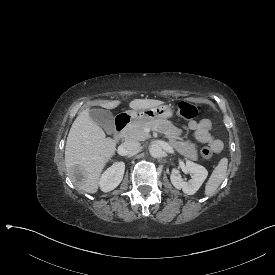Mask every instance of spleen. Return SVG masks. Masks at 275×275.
I'll return each mask as SVG.
<instances>
[{"label":"spleen","mask_w":275,"mask_h":275,"mask_svg":"<svg viewBox=\"0 0 275 275\" xmlns=\"http://www.w3.org/2000/svg\"><path fill=\"white\" fill-rule=\"evenodd\" d=\"M227 169H228V159L225 157L219 161L218 165L215 167L211 176L208 178L205 184L204 194L206 196L213 195V193L221 185V183L226 178Z\"/></svg>","instance_id":"spleen-1"}]
</instances>
